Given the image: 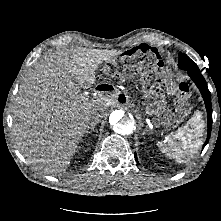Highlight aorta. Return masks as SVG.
I'll list each match as a JSON object with an SVG mask.
<instances>
[{
  "instance_id": "obj_1",
  "label": "aorta",
  "mask_w": 221,
  "mask_h": 221,
  "mask_svg": "<svg viewBox=\"0 0 221 221\" xmlns=\"http://www.w3.org/2000/svg\"><path fill=\"white\" fill-rule=\"evenodd\" d=\"M109 122L112 130L121 136L132 134L137 127L135 117L124 110L114 111L110 116Z\"/></svg>"
}]
</instances>
